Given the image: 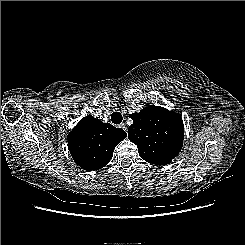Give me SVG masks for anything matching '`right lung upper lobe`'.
Segmentation results:
<instances>
[{
	"label": "right lung upper lobe",
	"instance_id": "1",
	"mask_svg": "<svg viewBox=\"0 0 245 245\" xmlns=\"http://www.w3.org/2000/svg\"><path fill=\"white\" fill-rule=\"evenodd\" d=\"M126 136L123 129L88 115L69 133L68 148L73 160L82 169L99 170L109 163L114 148Z\"/></svg>",
	"mask_w": 245,
	"mask_h": 245
}]
</instances>
